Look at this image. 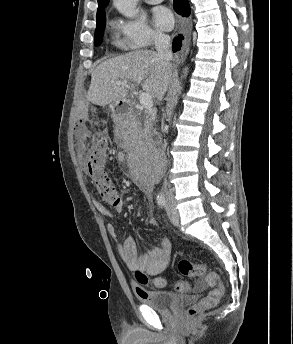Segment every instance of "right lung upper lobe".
Masks as SVG:
<instances>
[{"label": "right lung upper lobe", "instance_id": "1", "mask_svg": "<svg viewBox=\"0 0 293 344\" xmlns=\"http://www.w3.org/2000/svg\"><path fill=\"white\" fill-rule=\"evenodd\" d=\"M108 3H109V0H98L97 15L105 9Z\"/></svg>", "mask_w": 293, "mask_h": 344}]
</instances>
